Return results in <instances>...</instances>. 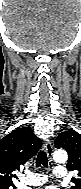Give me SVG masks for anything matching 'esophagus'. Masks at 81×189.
<instances>
[{
	"instance_id": "1",
	"label": "esophagus",
	"mask_w": 81,
	"mask_h": 189,
	"mask_svg": "<svg viewBox=\"0 0 81 189\" xmlns=\"http://www.w3.org/2000/svg\"><path fill=\"white\" fill-rule=\"evenodd\" d=\"M44 148H45V151L47 153V156L50 160H52V156H53V145H52V142L50 140H46L44 142Z\"/></svg>"
}]
</instances>
